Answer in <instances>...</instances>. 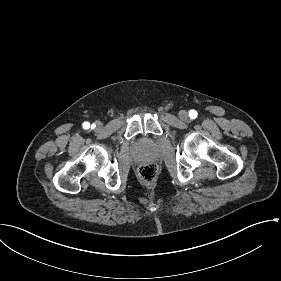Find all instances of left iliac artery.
Listing matches in <instances>:
<instances>
[{"mask_svg":"<svg viewBox=\"0 0 281 281\" xmlns=\"http://www.w3.org/2000/svg\"><path fill=\"white\" fill-rule=\"evenodd\" d=\"M189 116L191 119H195L197 117V112L195 110H190Z\"/></svg>","mask_w":281,"mask_h":281,"instance_id":"1","label":"left iliac artery"}]
</instances>
